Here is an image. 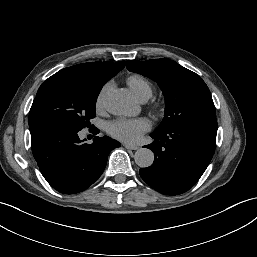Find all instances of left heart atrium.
Segmentation results:
<instances>
[{
	"label": "left heart atrium",
	"mask_w": 257,
	"mask_h": 257,
	"mask_svg": "<svg viewBox=\"0 0 257 257\" xmlns=\"http://www.w3.org/2000/svg\"><path fill=\"white\" fill-rule=\"evenodd\" d=\"M150 128L151 122L147 118H120L108 123L107 132L122 142L132 144L138 142Z\"/></svg>",
	"instance_id": "39dd6f15"
}]
</instances>
